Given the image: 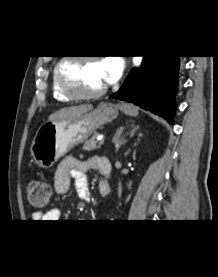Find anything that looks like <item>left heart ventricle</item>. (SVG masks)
<instances>
[{
  "mask_svg": "<svg viewBox=\"0 0 218 277\" xmlns=\"http://www.w3.org/2000/svg\"><path fill=\"white\" fill-rule=\"evenodd\" d=\"M65 73L72 85L82 92H92L106 85L99 61L71 62L66 65Z\"/></svg>",
  "mask_w": 218,
  "mask_h": 277,
  "instance_id": "1",
  "label": "left heart ventricle"
}]
</instances>
